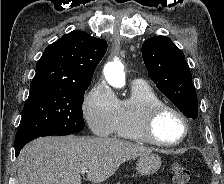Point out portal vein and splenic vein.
I'll list each match as a JSON object with an SVG mask.
<instances>
[{"label":"portal vein and splenic vein","mask_w":224,"mask_h":184,"mask_svg":"<svg viewBox=\"0 0 224 184\" xmlns=\"http://www.w3.org/2000/svg\"><path fill=\"white\" fill-rule=\"evenodd\" d=\"M87 172H88V169L87 168H82L81 171H80L81 174H85Z\"/></svg>","instance_id":"1"}]
</instances>
